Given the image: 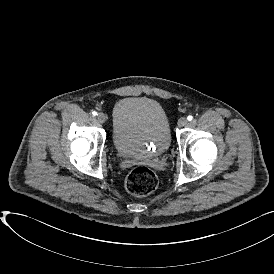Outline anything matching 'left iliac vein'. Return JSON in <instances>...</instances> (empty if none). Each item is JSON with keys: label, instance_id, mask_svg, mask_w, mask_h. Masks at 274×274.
<instances>
[{"label": "left iliac vein", "instance_id": "1", "mask_svg": "<svg viewBox=\"0 0 274 274\" xmlns=\"http://www.w3.org/2000/svg\"><path fill=\"white\" fill-rule=\"evenodd\" d=\"M188 124V120H187V118H185V117H181L179 120H178V125L180 126V127H184V126H186Z\"/></svg>", "mask_w": 274, "mask_h": 274}]
</instances>
